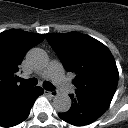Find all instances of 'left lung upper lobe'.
<instances>
[{
	"label": "left lung upper lobe",
	"instance_id": "5c2ea615",
	"mask_svg": "<svg viewBox=\"0 0 128 128\" xmlns=\"http://www.w3.org/2000/svg\"><path fill=\"white\" fill-rule=\"evenodd\" d=\"M46 38L66 71L77 74L73 81L76 94L113 97L119 73L113 55L104 44L78 32L46 34Z\"/></svg>",
	"mask_w": 128,
	"mask_h": 128
}]
</instances>
